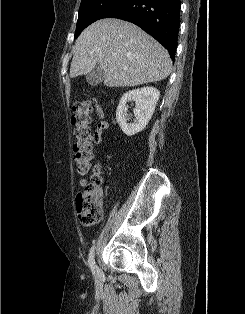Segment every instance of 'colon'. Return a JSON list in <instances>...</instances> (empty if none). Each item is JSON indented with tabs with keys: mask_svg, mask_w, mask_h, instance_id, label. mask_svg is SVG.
<instances>
[{
	"mask_svg": "<svg viewBox=\"0 0 245 314\" xmlns=\"http://www.w3.org/2000/svg\"><path fill=\"white\" fill-rule=\"evenodd\" d=\"M97 100L83 99L74 105V162L82 190L76 197L78 219L84 227L95 225L101 218L102 189L99 166L92 163L91 113ZM91 172L89 180L86 176Z\"/></svg>",
	"mask_w": 245,
	"mask_h": 314,
	"instance_id": "1",
	"label": "colon"
}]
</instances>
